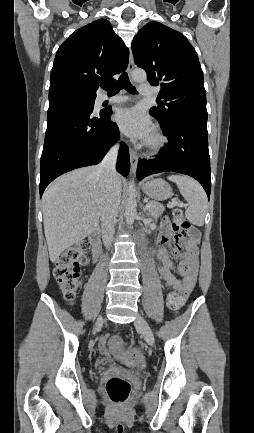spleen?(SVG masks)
<instances>
[{"mask_svg":"<svg viewBox=\"0 0 254 433\" xmlns=\"http://www.w3.org/2000/svg\"><path fill=\"white\" fill-rule=\"evenodd\" d=\"M168 179L176 183L181 195L188 202L186 218L196 226H203L207 212V196L201 185L194 179L182 175H171Z\"/></svg>","mask_w":254,"mask_h":433,"instance_id":"spleen-1","label":"spleen"}]
</instances>
